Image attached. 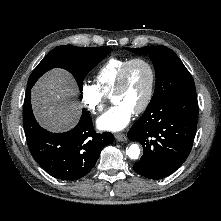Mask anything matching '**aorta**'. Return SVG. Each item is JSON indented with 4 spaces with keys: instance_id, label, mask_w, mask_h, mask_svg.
Returning <instances> with one entry per match:
<instances>
[{
    "instance_id": "obj_1",
    "label": "aorta",
    "mask_w": 221,
    "mask_h": 221,
    "mask_svg": "<svg viewBox=\"0 0 221 221\" xmlns=\"http://www.w3.org/2000/svg\"><path fill=\"white\" fill-rule=\"evenodd\" d=\"M126 154L129 156L131 159H138L140 155V148L137 144H132L127 150Z\"/></svg>"
}]
</instances>
